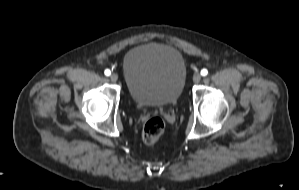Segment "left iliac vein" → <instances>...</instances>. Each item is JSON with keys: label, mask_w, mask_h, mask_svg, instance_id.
Listing matches in <instances>:
<instances>
[{"label": "left iliac vein", "mask_w": 299, "mask_h": 190, "mask_svg": "<svg viewBox=\"0 0 299 190\" xmlns=\"http://www.w3.org/2000/svg\"><path fill=\"white\" fill-rule=\"evenodd\" d=\"M200 80H201V75H200V73H195V74L193 75V82H194V83H199Z\"/></svg>", "instance_id": "left-iliac-vein-1"}]
</instances>
